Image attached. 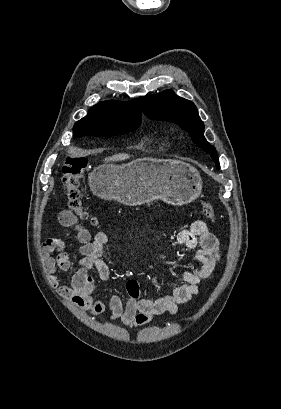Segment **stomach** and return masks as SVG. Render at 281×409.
Segmentation results:
<instances>
[{
  "instance_id": "0dacf381",
  "label": "stomach",
  "mask_w": 281,
  "mask_h": 409,
  "mask_svg": "<svg viewBox=\"0 0 281 409\" xmlns=\"http://www.w3.org/2000/svg\"><path fill=\"white\" fill-rule=\"evenodd\" d=\"M92 192L122 205H144L161 198L168 205H188L202 192L195 166L173 158H136L126 164H100L90 172Z\"/></svg>"
}]
</instances>
